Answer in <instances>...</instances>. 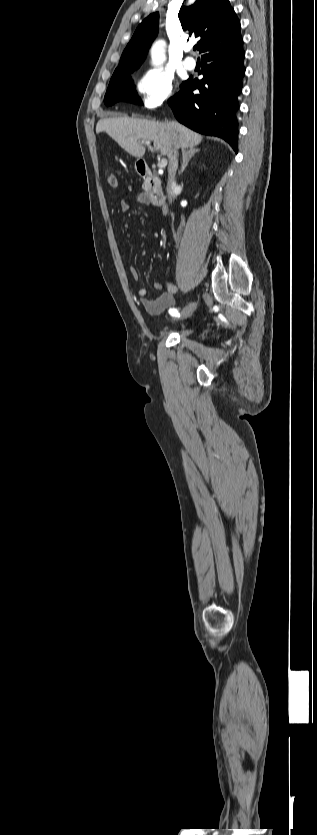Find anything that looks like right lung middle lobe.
<instances>
[{"instance_id": "obj_1", "label": "right lung middle lobe", "mask_w": 317, "mask_h": 835, "mask_svg": "<svg viewBox=\"0 0 317 835\" xmlns=\"http://www.w3.org/2000/svg\"><path fill=\"white\" fill-rule=\"evenodd\" d=\"M134 70L135 69L125 71L115 70L104 98V102L107 106L113 105L119 101L142 104L130 77Z\"/></svg>"}]
</instances>
